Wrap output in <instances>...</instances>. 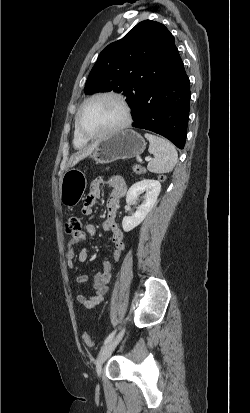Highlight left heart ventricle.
I'll return each mask as SVG.
<instances>
[{
	"mask_svg": "<svg viewBox=\"0 0 250 413\" xmlns=\"http://www.w3.org/2000/svg\"><path fill=\"white\" fill-rule=\"evenodd\" d=\"M124 118L120 104L111 98H98L88 103L80 118L82 130L98 134L118 126Z\"/></svg>",
	"mask_w": 250,
	"mask_h": 413,
	"instance_id": "obj_1",
	"label": "left heart ventricle"
}]
</instances>
